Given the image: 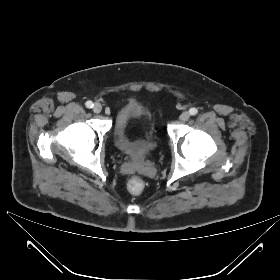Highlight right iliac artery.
<instances>
[{
  "label": "right iliac artery",
  "instance_id": "right-iliac-artery-1",
  "mask_svg": "<svg viewBox=\"0 0 280 280\" xmlns=\"http://www.w3.org/2000/svg\"><path fill=\"white\" fill-rule=\"evenodd\" d=\"M94 106L93 102L92 101H87L86 102V107L87 108H92Z\"/></svg>",
  "mask_w": 280,
  "mask_h": 280
}]
</instances>
